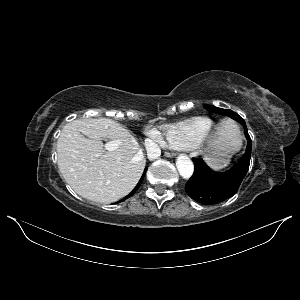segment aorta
I'll return each mask as SVG.
<instances>
[{
	"label": "aorta",
	"instance_id": "aorta-1",
	"mask_svg": "<svg viewBox=\"0 0 300 300\" xmlns=\"http://www.w3.org/2000/svg\"><path fill=\"white\" fill-rule=\"evenodd\" d=\"M176 167L179 174L185 179L190 178L194 172L193 162L187 155L184 154L177 157Z\"/></svg>",
	"mask_w": 300,
	"mask_h": 300
}]
</instances>
